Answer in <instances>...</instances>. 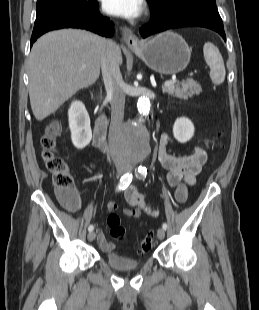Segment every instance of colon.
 Wrapping results in <instances>:
<instances>
[{"instance_id":"1","label":"colon","mask_w":259,"mask_h":310,"mask_svg":"<svg viewBox=\"0 0 259 310\" xmlns=\"http://www.w3.org/2000/svg\"><path fill=\"white\" fill-rule=\"evenodd\" d=\"M61 124L57 121L51 122L45 134L42 137L41 144L43 148L42 157L48 170L53 174V182L58 190V195L65 206L76 208L79 205V197L73 190V177L63 158L54 153L55 138L59 134ZM107 225L111 236L116 240H123L126 237V230L121 223L120 216L116 213H110L107 217ZM156 243L153 234L147 235L140 242V253L146 254Z\"/></svg>"}]
</instances>
